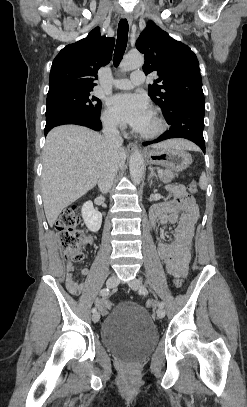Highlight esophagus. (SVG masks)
Instances as JSON below:
<instances>
[{
  "label": "esophagus",
  "mask_w": 247,
  "mask_h": 407,
  "mask_svg": "<svg viewBox=\"0 0 247 407\" xmlns=\"http://www.w3.org/2000/svg\"><path fill=\"white\" fill-rule=\"evenodd\" d=\"M122 18L126 19L129 22V24H132V17H131L130 14L123 12L122 13ZM137 148H138L137 145L135 143H132V142L127 145L128 150H134V149H137Z\"/></svg>",
  "instance_id": "esophagus-1"
}]
</instances>
